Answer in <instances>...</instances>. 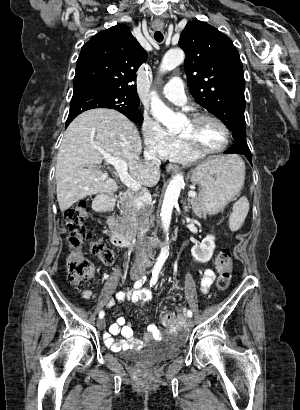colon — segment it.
Segmentation results:
<instances>
[{
    "label": "colon",
    "instance_id": "5ec220e1",
    "mask_svg": "<svg viewBox=\"0 0 300 410\" xmlns=\"http://www.w3.org/2000/svg\"><path fill=\"white\" fill-rule=\"evenodd\" d=\"M87 218L86 202L78 201L69 207L64 213V224L68 230V242L72 251L66 260L67 279L70 285L81 286L85 284L94 273L93 264L84 257L82 247L90 244V251L104 264L111 265L115 261L113 250L102 239L94 238L86 226ZM216 267L219 272L216 287L218 290H226L231 281L232 258L227 248L221 249L216 257ZM177 319L172 311H166L163 317L165 325L173 328Z\"/></svg>",
    "mask_w": 300,
    "mask_h": 410
}]
</instances>
